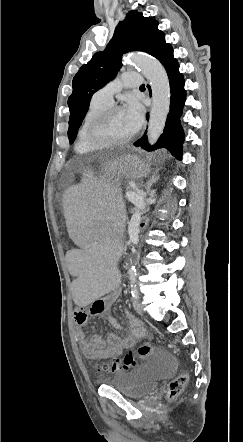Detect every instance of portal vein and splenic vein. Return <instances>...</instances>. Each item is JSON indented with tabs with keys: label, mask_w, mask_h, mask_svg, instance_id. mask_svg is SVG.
<instances>
[{
	"label": "portal vein and splenic vein",
	"mask_w": 243,
	"mask_h": 442,
	"mask_svg": "<svg viewBox=\"0 0 243 442\" xmlns=\"http://www.w3.org/2000/svg\"><path fill=\"white\" fill-rule=\"evenodd\" d=\"M126 197H127L129 200L134 201V200H136V198H137V194H136L135 192H132V191H127V192H126Z\"/></svg>",
	"instance_id": "1"
}]
</instances>
